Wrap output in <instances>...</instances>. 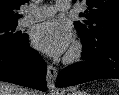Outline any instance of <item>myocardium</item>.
Masks as SVG:
<instances>
[{"instance_id": "obj_1", "label": "myocardium", "mask_w": 119, "mask_h": 95, "mask_svg": "<svg viewBox=\"0 0 119 95\" xmlns=\"http://www.w3.org/2000/svg\"><path fill=\"white\" fill-rule=\"evenodd\" d=\"M83 52V44L80 41H75L65 57V62L68 64L78 62L81 60Z\"/></svg>"}]
</instances>
